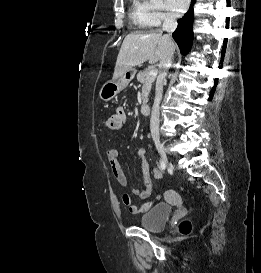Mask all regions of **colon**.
Wrapping results in <instances>:
<instances>
[{"mask_svg": "<svg viewBox=\"0 0 261 273\" xmlns=\"http://www.w3.org/2000/svg\"><path fill=\"white\" fill-rule=\"evenodd\" d=\"M105 125L109 130L119 131L121 129V120L118 116L111 115L105 120ZM168 197L172 200H176V196L173 193H168ZM179 230L182 234H188L190 231V224L188 222L181 223Z\"/></svg>", "mask_w": 261, "mask_h": 273, "instance_id": "colon-1", "label": "colon"}]
</instances>
